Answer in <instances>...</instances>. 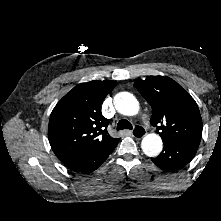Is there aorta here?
I'll return each instance as SVG.
<instances>
[{"instance_id": "aorta-1", "label": "aorta", "mask_w": 221, "mask_h": 221, "mask_svg": "<svg viewBox=\"0 0 221 221\" xmlns=\"http://www.w3.org/2000/svg\"><path fill=\"white\" fill-rule=\"evenodd\" d=\"M116 110L126 116H133L139 112V102L136 97L129 92H120L114 97ZM141 148L148 157H156L163 148V142L159 135L155 133L147 134L143 137Z\"/></svg>"}]
</instances>
